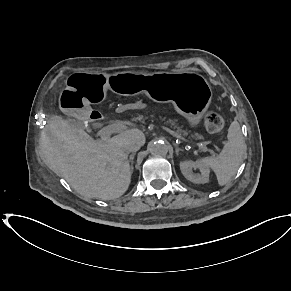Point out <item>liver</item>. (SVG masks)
I'll use <instances>...</instances> for the list:
<instances>
[{"label": "liver", "instance_id": "liver-1", "mask_svg": "<svg viewBox=\"0 0 291 291\" xmlns=\"http://www.w3.org/2000/svg\"><path fill=\"white\" fill-rule=\"evenodd\" d=\"M136 128L106 140H94L82 127L71 126L60 117L48 121L42 139L43 156L79 194L102 200L122 196L131 183L127 142L145 144Z\"/></svg>", "mask_w": 291, "mask_h": 291}]
</instances>
